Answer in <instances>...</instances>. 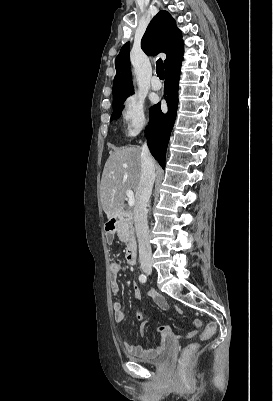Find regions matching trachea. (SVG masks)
Returning a JSON list of instances; mask_svg holds the SVG:
<instances>
[{"mask_svg":"<svg viewBox=\"0 0 273 401\" xmlns=\"http://www.w3.org/2000/svg\"><path fill=\"white\" fill-rule=\"evenodd\" d=\"M156 73L160 79H164L165 71H164V64L161 58H159L156 62Z\"/></svg>","mask_w":273,"mask_h":401,"instance_id":"trachea-1","label":"trachea"}]
</instances>
